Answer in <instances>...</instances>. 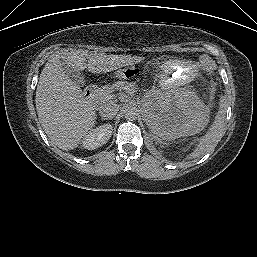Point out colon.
<instances>
[{
	"label": "colon",
	"instance_id": "1",
	"mask_svg": "<svg viewBox=\"0 0 257 257\" xmlns=\"http://www.w3.org/2000/svg\"><path fill=\"white\" fill-rule=\"evenodd\" d=\"M200 62L203 67L208 71H213L215 69V63L211 57L204 55L200 58ZM139 70L136 67H130L127 69H122L115 72V76L118 78L131 79L138 75Z\"/></svg>",
	"mask_w": 257,
	"mask_h": 257
}]
</instances>
